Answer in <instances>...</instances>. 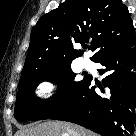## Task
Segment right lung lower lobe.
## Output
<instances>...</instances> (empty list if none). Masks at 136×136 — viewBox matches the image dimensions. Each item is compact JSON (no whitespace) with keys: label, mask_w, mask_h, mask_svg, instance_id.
Listing matches in <instances>:
<instances>
[{"label":"right lung lower lobe","mask_w":136,"mask_h":136,"mask_svg":"<svg viewBox=\"0 0 136 136\" xmlns=\"http://www.w3.org/2000/svg\"><path fill=\"white\" fill-rule=\"evenodd\" d=\"M94 62L105 68L96 93L88 76L76 94L49 118L76 123L102 136H133L136 123V35L105 49Z\"/></svg>","instance_id":"1"}]
</instances>
